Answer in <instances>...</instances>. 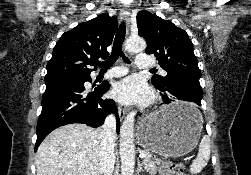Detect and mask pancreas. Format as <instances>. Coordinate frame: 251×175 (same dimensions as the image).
<instances>
[{"label":"pancreas","instance_id":"1","mask_svg":"<svg viewBox=\"0 0 251 175\" xmlns=\"http://www.w3.org/2000/svg\"><path fill=\"white\" fill-rule=\"evenodd\" d=\"M142 153H147L146 157H142L143 165L149 173H156L157 165H160L162 159L159 157H153L152 153L149 151H142Z\"/></svg>","mask_w":251,"mask_h":175}]
</instances>
